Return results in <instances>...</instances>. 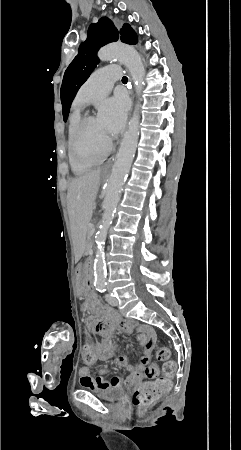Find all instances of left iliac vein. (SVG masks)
Segmentation results:
<instances>
[{"instance_id":"4c4485c4","label":"left iliac vein","mask_w":241,"mask_h":450,"mask_svg":"<svg viewBox=\"0 0 241 450\" xmlns=\"http://www.w3.org/2000/svg\"><path fill=\"white\" fill-rule=\"evenodd\" d=\"M106 300L110 305L117 306L118 301L115 297H113L110 293L106 294Z\"/></svg>"}]
</instances>
